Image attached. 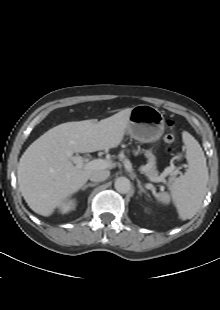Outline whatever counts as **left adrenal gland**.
I'll list each match as a JSON object with an SVG mask.
<instances>
[{
  "label": "left adrenal gland",
  "instance_id": "obj_1",
  "mask_svg": "<svg viewBox=\"0 0 220 310\" xmlns=\"http://www.w3.org/2000/svg\"><path fill=\"white\" fill-rule=\"evenodd\" d=\"M137 183H138V188L140 189V190H139V194H140V195H142V193L146 194V191H145V189L143 188V186L141 185L140 180H137Z\"/></svg>",
  "mask_w": 220,
  "mask_h": 310
}]
</instances>
